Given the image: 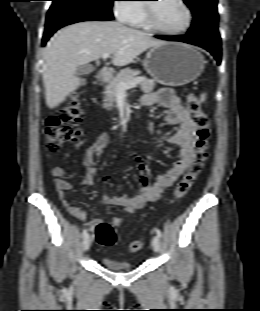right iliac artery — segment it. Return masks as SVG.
<instances>
[{"mask_svg":"<svg viewBox=\"0 0 260 311\" xmlns=\"http://www.w3.org/2000/svg\"><path fill=\"white\" fill-rule=\"evenodd\" d=\"M87 235H88V230L87 229L83 230L82 237H86Z\"/></svg>","mask_w":260,"mask_h":311,"instance_id":"82829eb1","label":"right iliac artery"}]
</instances>
